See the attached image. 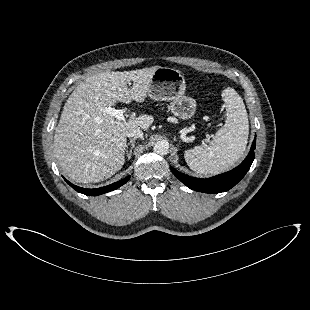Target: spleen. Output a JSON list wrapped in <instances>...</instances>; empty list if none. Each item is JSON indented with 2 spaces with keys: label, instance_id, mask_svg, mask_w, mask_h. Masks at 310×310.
<instances>
[{
  "label": "spleen",
  "instance_id": "obj_1",
  "mask_svg": "<svg viewBox=\"0 0 310 310\" xmlns=\"http://www.w3.org/2000/svg\"><path fill=\"white\" fill-rule=\"evenodd\" d=\"M227 117L209 145L186 150L185 161L196 173L215 175L227 171L244 155L249 135L248 115L242 98L233 88L222 92Z\"/></svg>",
  "mask_w": 310,
  "mask_h": 310
}]
</instances>
